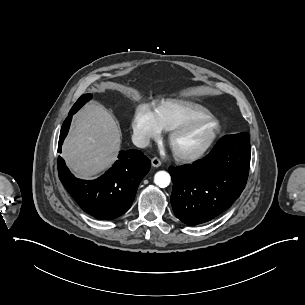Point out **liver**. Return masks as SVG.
Listing matches in <instances>:
<instances>
[{
	"mask_svg": "<svg viewBox=\"0 0 305 305\" xmlns=\"http://www.w3.org/2000/svg\"><path fill=\"white\" fill-rule=\"evenodd\" d=\"M133 98L139 99V94ZM120 137L121 131L105 107L87 104L74 117L62 157L76 177L90 179L117 160Z\"/></svg>",
	"mask_w": 305,
	"mask_h": 305,
	"instance_id": "liver-1",
	"label": "liver"
}]
</instances>
